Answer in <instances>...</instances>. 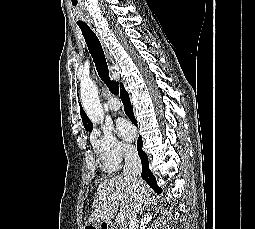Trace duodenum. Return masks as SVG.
Here are the masks:
<instances>
[{"instance_id": "obj_1", "label": "duodenum", "mask_w": 255, "mask_h": 229, "mask_svg": "<svg viewBox=\"0 0 255 229\" xmlns=\"http://www.w3.org/2000/svg\"><path fill=\"white\" fill-rule=\"evenodd\" d=\"M91 229H94V228H91ZM97 229H119V228L112 223L103 222L97 226Z\"/></svg>"}]
</instances>
